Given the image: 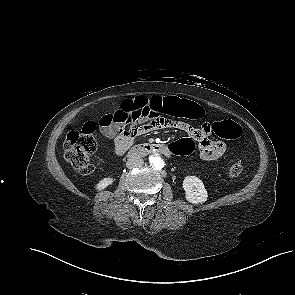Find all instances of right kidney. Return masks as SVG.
<instances>
[{
  "mask_svg": "<svg viewBox=\"0 0 295 295\" xmlns=\"http://www.w3.org/2000/svg\"><path fill=\"white\" fill-rule=\"evenodd\" d=\"M115 179L107 177L102 179L97 185L96 190L101 191L107 188L109 185H111L114 182Z\"/></svg>",
  "mask_w": 295,
  "mask_h": 295,
  "instance_id": "obj_1",
  "label": "right kidney"
}]
</instances>
